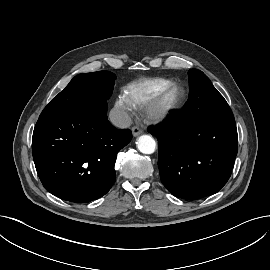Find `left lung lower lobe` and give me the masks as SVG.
<instances>
[{"label":"left lung lower lobe","instance_id":"1","mask_svg":"<svg viewBox=\"0 0 270 270\" xmlns=\"http://www.w3.org/2000/svg\"><path fill=\"white\" fill-rule=\"evenodd\" d=\"M148 131L159 141L160 179L174 196L203 198L230 178L238 142L234 116L201 117L188 100L181 111Z\"/></svg>","mask_w":270,"mask_h":270}]
</instances>
